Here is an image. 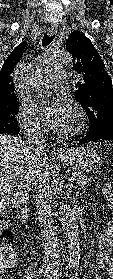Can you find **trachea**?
Wrapping results in <instances>:
<instances>
[{
    "label": "trachea",
    "instance_id": "trachea-1",
    "mask_svg": "<svg viewBox=\"0 0 113 279\" xmlns=\"http://www.w3.org/2000/svg\"><path fill=\"white\" fill-rule=\"evenodd\" d=\"M54 35L53 36H50L48 34L44 35V37L42 38V46L43 47H46L48 46L54 39Z\"/></svg>",
    "mask_w": 113,
    "mask_h": 279
}]
</instances>
